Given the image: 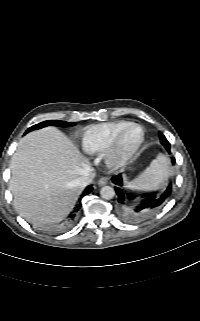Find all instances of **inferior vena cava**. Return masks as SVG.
<instances>
[{"mask_svg":"<svg viewBox=\"0 0 200 321\" xmlns=\"http://www.w3.org/2000/svg\"><path fill=\"white\" fill-rule=\"evenodd\" d=\"M93 176L94 174L92 172V169H88L83 176L75 180L76 186L81 189L85 188L87 185H89L92 182Z\"/></svg>","mask_w":200,"mask_h":321,"instance_id":"602c4592","label":"inferior vena cava"}]
</instances>
